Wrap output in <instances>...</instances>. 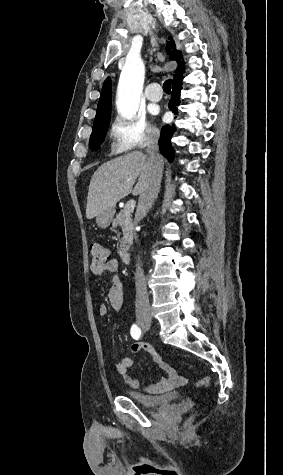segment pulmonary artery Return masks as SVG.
Wrapping results in <instances>:
<instances>
[{"mask_svg": "<svg viewBox=\"0 0 283 475\" xmlns=\"http://www.w3.org/2000/svg\"><path fill=\"white\" fill-rule=\"evenodd\" d=\"M118 90H143V89H118ZM162 88L159 83L153 82L150 87L146 89L147 98L151 102H158L161 100Z\"/></svg>", "mask_w": 283, "mask_h": 475, "instance_id": "obj_1", "label": "pulmonary artery"}]
</instances>
